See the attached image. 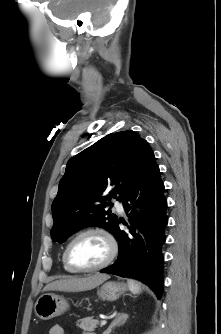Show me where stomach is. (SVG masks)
Instances as JSON below:
<instances>
[{"mask_svg":"<svg viewBox=\"0 0 221 334\" xmlns=\"http://www.w3.org/2000/svg\"><path fill=\"white\" fill-rule=\"evenodd\" d=\"M126 290V284L108 281L100 287L98 295L102 300L115 301L125 293ZM68 308L69 304L64 297L54 293H45L37 299L34 311L38 318L49 320L61 315L67 311Z\"/></svg>","mask_w":221,"mask_h":334,"instance_id":"stomach-1","label":"stomach"}]
</instances>
